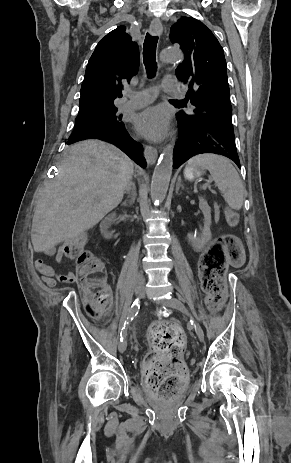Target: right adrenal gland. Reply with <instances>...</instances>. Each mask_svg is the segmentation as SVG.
Instances as JSON below:
<instances>
[{"label": "right adrenal gland", "instance_id": "1", "mask_svg": "<svg viewBox=\"0 0 291 463\" xmlns=\"http://www.w3.org/2000/svg\"><path fill=\"white\" fill-rule=\"evenodd\" d=\"M135 196H136V193H135V191H134V192H133V197H132V199L129 200V201H127V200L124 201V202L122 203V206H130V205L134 202Z\"/></svg>", "mask_w": 291, "mask_h": 463}]
</instances>
